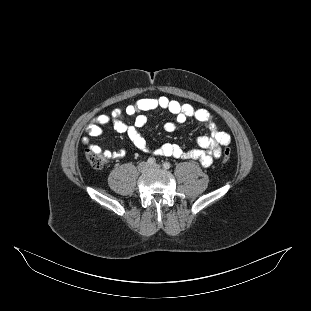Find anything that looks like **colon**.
<instances>
[{
  "label": "colon",
  "mask_w": 311,
  "mask_h": 311,
  "mask_svg": "<svg viewBox=\"0 0 311 311\" xmlns=\"http://www.w3.org/2000/svg\"><path fill=\"white\" fill-rule=\"evenodd\" d=\"M87 160L90 165L95 169H101L107 163V156L102 152H97L93 150H87ZM231 157V149L225 148L222 153V161L227 162Z\"/></svg>",
  "instance_id": "obj_1"
}]
</instances>
